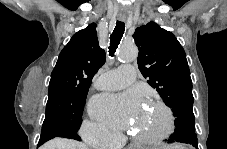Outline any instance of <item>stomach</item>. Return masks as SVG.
Returning a JSON list of instances; mask_svg holds the SVG:
<instances>
[{
	"instance_id": "1",
	"label": "stomach",
	"mask_w": 227,
	"mask_h": 149,
	"mask_svg": "<svg viewBox=\"0 0 227 149\" xmlns=\"http://www.w3.org/2000/svg\"><path fill=\"white\" fill-rule=\"evenodd\" d=\"M166 149H175V148H173V147H168V148H166Z\"/></svg>"
}]
</instances>
